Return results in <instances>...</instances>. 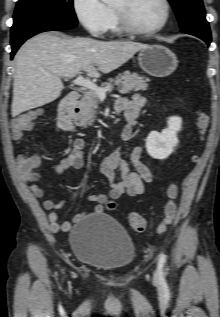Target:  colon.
Returning <instances> with one entry per match:
<instances>
[{
	"label": "colon",
	"instance_id": "colon-1",
	"mask_svg": "<svg viewBox=\"0 0 220 317\" xmlns=\"http://www.w3.org/2000/svg\"><path fill=\"white\" fill-rule=\"evenodd\" d=\"M37 118L36 112H26L22 115L17 116L12 120L11 128L15 138L21 137L26 131L31 129ZM207 127V116L204 113L199 114V134L200 137L205 132ZM167 201L164 205V218L160 224L159 230H164L165 227L175 223L177 219V187L174 183H171L166 190ZM107 205L110 209L115 208V203L108 201ZM129 224L136 232H144L147 228L146 220L137 213L129 214Z\"/></svg>",
	"mask_w": 220,
	"mask_h": 317
}]
</instances>
